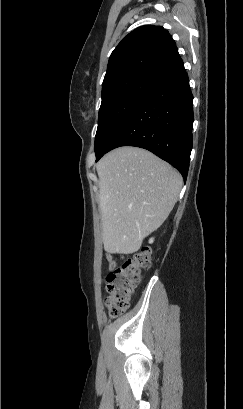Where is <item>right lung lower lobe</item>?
Instances as JSON below:
<instances>
[{"label":"right lung lower lobe","instance_id":"98d812e1","mask_svg":"<svg viewBox=\"0 0 243 409\" xmlns=\"http://www.w3.org/2000/svg\"><path fill=\"white\" fill-rule=\"evenodd\" d=\"M193 95L183 62L164 76L125 118L96 155L120 146L147 149L186 181L192 150Z\"/></svg>","mask_w":243,"mask_h":409}]
</instances>
